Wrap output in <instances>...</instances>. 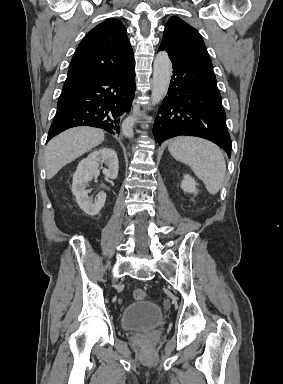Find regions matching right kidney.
<instances>
[{
    "mask_svg": "<svg viewBox=\"0 0 283 384\" xmlns=\"http://www.w3.org/2000/svg\"><path fill=\"white\" fill-rule=\"evenodd\" d=\"M100 164L107 166L102 170L106 178H110V180L117 178L119 162L115 150H111V148H100L89 154L88 158L79 162L73 176L72 194H74L79 208L90 218L99 214L106 200L104 192L99 194L97 200H92V198H88L90 190H85L87 182H91L94 176H100Z\"/></svg>",
    "mask_w": 283,
    "mask_h": 384,
    "instance_id": "1",
    "label": "right kidney"
}]
</instances>
